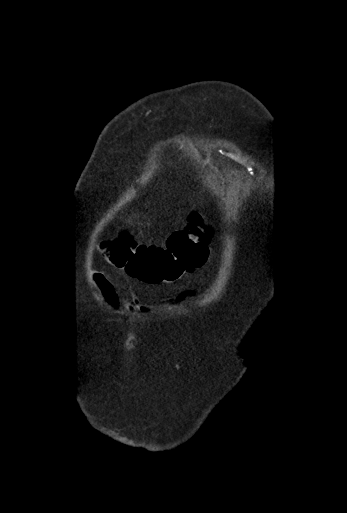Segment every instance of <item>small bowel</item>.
Returning <instances> with one entry per match:
<instances>
[{
	"instance_id": "small-bowel-1",
	"label": "small bowel",
	"mask_w": 347,
	"mask_h": 513,
	"mask_svg": "<svg viewBox=\"0 0 347 513\" xmlns=\"http://www.w3.org/2000/svg\"><path fill=\"white\" fill-rule=\"evenodd\" d=\"M93 279L99 289L102 291L103 296L105 297L108 304L113 307L118 306L120 303H123L124 307L127 310L135 311V310H147V307L143 306L136 296H132L130 300L120 298L116 292L112 284L106 278V276L102 273H94ZM196 293L193 290H186L181 297L185 296H193Z\"/></svg>"
}]
</instances>
